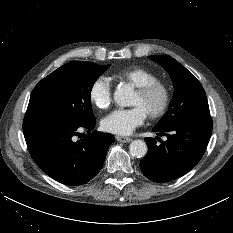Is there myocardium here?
I'll return each instance as SVG.
<instances>
[{
	"mask_svg": "<svg viewBox=\"0 0 233 233\" xmlns=\"http://www.w3.org/2000/svg\"><path fill=\"white\" fill-rule=\"evenodd\" d=\"M158 91L162 94V101L157 110L148 114V117L151 119H159L167 113L171 103V89L168 84L159 80L136 88V92L143 97L150 96Z\"/></svg>",
	"mask_w": 233,
	"mask_h": 233,
	"instance_id": "f54148a6",
	"label": "myocardium"
}]
</instances>
